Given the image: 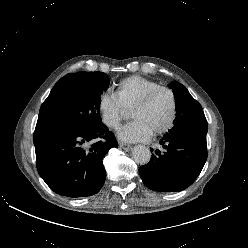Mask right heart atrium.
Wrapping results in <instances>:
<instances>
[{"mask_svg":"<svg viewBox=\"0 0 248 248\" xmlns=\"http://www.w3.org/2000/svg\"><path fill=\"white\" fill-rule=\"evenodd\" d=\"M98 110L103 123L110 129H118L125 116V109L114 93L104 92L98 100Z\"/></svg>","mask_w":248,"mask_h":248,"instance_id":"obj_1","label":"right heart atrium"}]
</instances>
